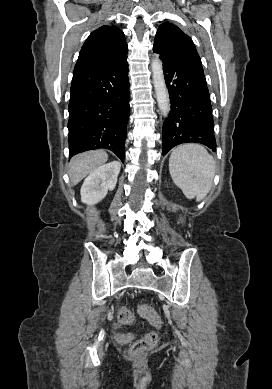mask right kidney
Returning <instances> with one entry per match:
<instances>
[{
  "instance_id": "ca27d5eb",
  "label": "right kidney",
  "mask_w": 272,
  "mask_h": 389,
  "mask_svg": "<svg viewBox=\"0 0 272 389\" xmlns=\"http://www.w3.org/2000/svg\"><path fill=\"white\" fill-rule=\"evenodd\" d=\"M120 168L119 162L112 161L90 173L81 187V201L87 205L100 202L115 188Z\"/></svg>"
}]
</instances>
